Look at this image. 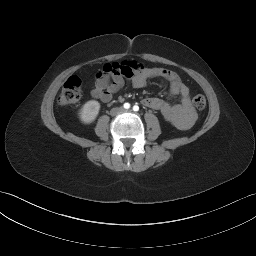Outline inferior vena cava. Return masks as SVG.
Segmentation results:
<instances>
[{
  "label": "inferior vena cava",
  "instance_id": "1",
  "mask_svg": "<svg viewBox=\"0 0 256 256\" xmlns=\"http://www.w3.org/2000/svg\"><path fill=\"white\" fill-rule=\"evenodd\" d=\"M122 111H123L122 108H113V109L111 110V115H116V114H118V113H121Z\"/></svg>",
  "mask_w": 256,
  "mask_h": 256
}]
</instances>
